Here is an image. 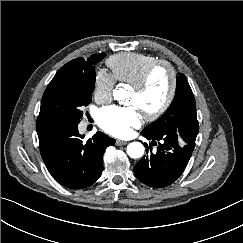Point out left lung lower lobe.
I'll return each mask as SVG.
<instances>
[{
	"label": "left lung lower lobe",
	"instance_id": "1",
	"mask_svg": "<svg viewBox=\"0 0 243 243\" xmlns=\"http://www.w3.org/2000/svg\"><path fill=\"white\" fill-rule=\"evenodd\" d=\"M142 135L151 143H145L147 155L134 166L135 176L150 187L169 186L181 176L194 150L191 129H181L180 133L167 130L155 135L142 131Z\"/></svg>",
	"mask_w": 243,
	"mask_h": 243
}]
</instances>
